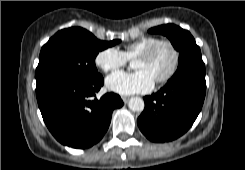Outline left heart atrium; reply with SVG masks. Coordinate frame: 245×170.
<instances>
[{"instance_id":"39dd6f15","label":"left heart atrium","mask_w":245,"mask_h":170,"mask_svg":"<svg viewBox=\"0 0 245 170\" xmlns=\"http://www.w3.org/2000/svg\"><path fill=\"white\" fill-rule=\"evenodd\" d=\"M153 85L154 79L144 70L116 72L106 79L108 89L123 95L148 92Z\"/></svg>"}]
</instances>
